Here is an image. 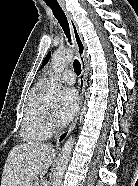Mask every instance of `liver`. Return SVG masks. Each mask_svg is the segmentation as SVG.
Instances as JSON below:
<instances>
[{"instance_id":"obj_1","label":"liver","mask_w":138,"mask_h":186,"mask_svg":"<svg viewBox=\"0 0 138 186\" xmlns=\"http://www.w3.org/2000/svg\"><path fill=\"white\" fill-rule=\"evenodd\" d=\"M56 151L44 143L14 146L6 159L1 186H31L37 175L47 173Z\"/></svg>"}]
</instances>
